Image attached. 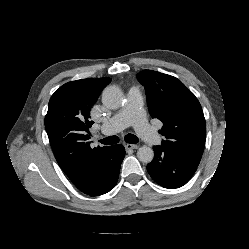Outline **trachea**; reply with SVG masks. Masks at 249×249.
<instances>
[{
	"instance_id": "trachea-1",
	"label": "trachea",
	"mask_w": 249,
	"mask_h": 249,
	"mask_svg": "<svg viewBox=\"0 0 249 249\" xmlns=\"http://www.w3.org/2000/svg\"><path fill=\"white\" fill-rule=\"evenodd\" d=\"M118 141H119V138L117 136H109L102 140H99V142L104 145H112V144L117 143ZM125 141L130 144H136L139 142V139L134 134H127L125 136Z\"/></svg>"
}]
</instances>
